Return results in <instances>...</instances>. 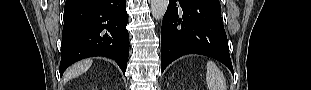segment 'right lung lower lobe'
<instances>
[{
	"mask_svg": "<svg viewBox=\"0 0 311 90\" xmlns=\"http://www.w3.org/2000/svg\"><path fill=\"white\" fill-rule=\"evenodd\" d=\"M60 76L93 56L112 58L125 74L129 56L126 0H66Z\"/></svg>",
	"mask_w": 311,
	"mask_h": 90,
	"instance_id": "obj_1",
	"label": "right lung lower lobe"
}]
</instances>
